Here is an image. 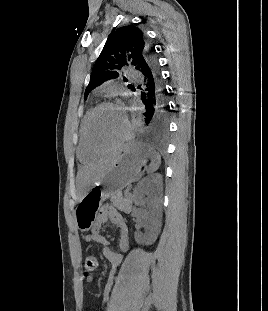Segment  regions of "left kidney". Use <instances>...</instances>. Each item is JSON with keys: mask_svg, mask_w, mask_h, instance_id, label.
<instances>
[{"mask_svg": "<svg viewBox=\"0 0 268 311\" xmlns=\"http://www.w3.org/2000/svg\"><path fill=\"white\" fill-rule=\"evenodd\" d=\"M163 179L160 174L150 175L142 179L133 193V202L137 206H146L148 211L140 218L139 222L145 228V233H137L135 239L151 245L157 239L161 230V195Z\"/></svg>", "mask_w": 268, "mask_h": 311, "instance_id": "5707ae66", "label": "left kidney"}]
</instances>
